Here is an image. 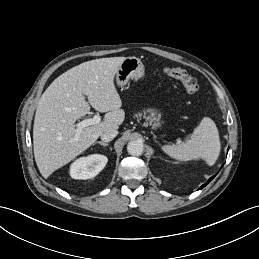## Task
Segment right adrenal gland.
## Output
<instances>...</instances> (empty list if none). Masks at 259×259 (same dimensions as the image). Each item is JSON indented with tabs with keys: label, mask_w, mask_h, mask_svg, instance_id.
Masks as SVG:
<instances>
[{
	"label": "right adrenal gland",
	"mask_w": 259,
	"mask_h": 259,
	"mask_svg": "<svg viewBox=\"0 0 259 259\" xmlns=\"http://www.w3.org/2000/svg\"><path fill=\"white\" fill-rule=\"evenodd\" d=\"M97 143L102 145V146H104V147L108 146V143H106V142L98 141V142H96L94 144H97Z\"/></svg>",
	"instance_id": "2a0ac1e0"
}]
</instances>
